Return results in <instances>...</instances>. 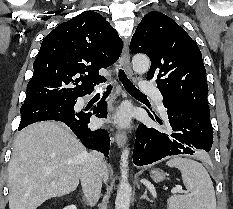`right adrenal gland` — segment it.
Listing matches in <instances>:
<instances>
[{"label":"right adrenal gland","mask_w":233,"mask_h":209,"mask_svg":"<svg viewBox=\"0 0 233 209\" xmlns=\"http://www.w3.org/2000/svg\"><path fill=\"white\" fill-rule=\"evenodd\" d=\"M82 198H83V201H84L85 203H87L86 200H85V198H84V197H82Z\"/></svg>","instance_id":"1"}]
</instances>
